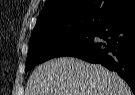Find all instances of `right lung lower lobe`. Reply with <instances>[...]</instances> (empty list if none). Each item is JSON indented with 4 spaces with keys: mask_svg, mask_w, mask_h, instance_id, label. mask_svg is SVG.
Returning <instances> with one entry per match:
<instances>
[{
    "mask_svg": "<svg viewBox=\"0 0 135 95\" xmlns=\"http://www.w3.org/2000/svg\"><path fill=\"white\" fill-rule=\"evenodd\" d=\"M94 37L72 56L117 72L135 94V15L108 20L95 30Z\"/></svg>",
    "mask_w": 135,
    "mask_h": 95,
    "instance_id": "1",
    "label": "right lung lower lobe"
}]
</instances>
